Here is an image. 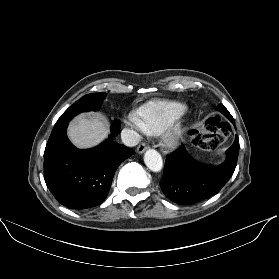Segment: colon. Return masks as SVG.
<instances>
[{"instance_id":"colon-1","label":"colon","mask_w":279,"mask_h":279,"mask_svg":"<svg viewBox=\"0 0 279 279\" xmlns=\"http://www.w3.org/2000/svg\"><path fill=\"white\" fill-rule=\"evenodd\" d=\"M230 133L228 123L222 121L220 117L208 118L194 133L193 143L205 150H214L221 146Z\"/></svg>"}]
</instances>
